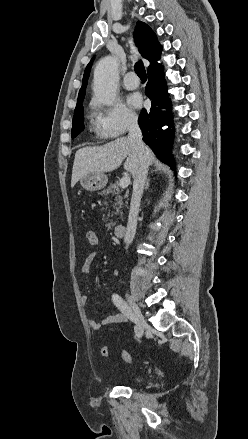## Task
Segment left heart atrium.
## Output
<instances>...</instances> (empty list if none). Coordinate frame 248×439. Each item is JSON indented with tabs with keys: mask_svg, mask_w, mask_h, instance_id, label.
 Returning a JSON list of instances; mask_svg holds the SVG:
<instances>
[{
	"mask_svg": "<svg viewBox=\"0 0 248 439\" xmlns=\"http://www.w3.org/2000/svg\"><path fill=\"white\" fill-rule=\"evenodd\" d=\"M128 102L131 106L138 108L142 105V97L138 94H133L128 98Z\"/></svg>",
	"mask_w": 248,
	"mask_h": 439,
	"instance_id": "1",
	"label": "left heart atrium"
}]
</instances>
